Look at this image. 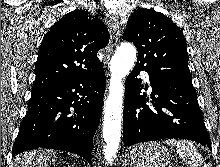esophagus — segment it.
Returning a JSON list of instances; mask_svg holds the SVG:
<instances>
[{
	"instance_id": "1",
	"label": "esophagus",
	"mask_w": 220,
	"mask_h": 167,
	"mask_svg": "<svg viewBox=\"0 0 220 167\" xmlns=\"http://www.w3.org/2000/svg\"><path fill=\"white\" fill-rule=\"evenodd\" d=\"M106 23L108 25V29L110 32V40L107 45L106 58H105V62H108L117 46L118 38L120 36V27L117 19L111 15H109L108 18L106 19Z\"/></svg>"
}]
</instances>
